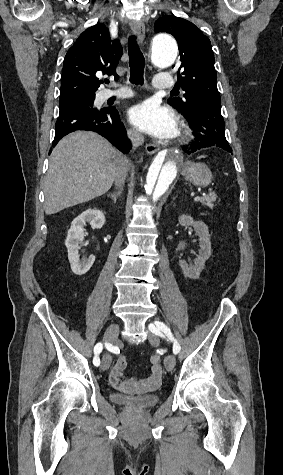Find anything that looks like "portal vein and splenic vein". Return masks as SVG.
I'll use <instances>...</instances> for the list:
<instances>
[{
	"label": "portal vein and splenic vein",
	"mask_w": 283,
	"mask_h": 475,
	"mask_svg": "<svg viewBox=\"0 0 283 475\" xmlns=\"http://www.w3.org/2000/svg\"><path fill=\"white\" fill-rule=\"evenodd\" d=\"M200 199H201V196L199 194H196L194 196V202H199Z\"/></svg>",
	"instance_id": "portal-vein-and-splenic-vein-1"
}]
</instances>
